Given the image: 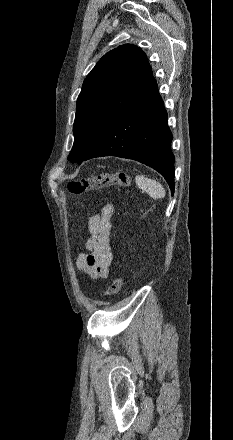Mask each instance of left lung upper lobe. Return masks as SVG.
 <instances>
[{
	"label": "left lung upper lobe",
	"mask_w": 233,
	"mask_h": 440,
	"mask_svg": "<svg viewBox=\"0 0 233 440\" xmlns=\"http://www.w3.org/2000/svg\"><path fill=\"white\" fill-rule=\"evenodd\" d=\"M151 76L146 54L131 44L121 45L99 60L77 99L74 144L68 160L81 163L86 159Z\"/></svg>",
	"instance_id": "left-lung-upper-lobe-1"
}]
</instances>
